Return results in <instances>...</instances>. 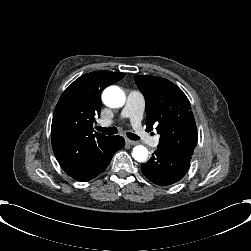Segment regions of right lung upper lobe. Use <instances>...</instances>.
<instances>
[{
    "instance_id": "cb5924a9",
    "label": "right lung upper lobe",
    "mask_w": 251,
    "mask_h": 251,
    "mask_svg": "<svg viewBox=\"0 0 251 251\" xmlns=\"http://www.w3.org/2000/svg\"><path fill=\"white\" fill-rule=\"evenodd\" d=\"M125 73L96 71L75 80L61 95L52 120L51 141L61 168L75 176L89 168L109 150L114 136L93 133L100 116L101 92L121 80Z\"/></svg>"
}]
</instances>
